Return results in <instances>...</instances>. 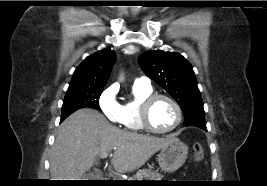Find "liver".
Wrapping results in <instances>:
<instances>
[{"label": "liver", "mask_w": 267, "mask_h": 186, "mask_svg": "<svg viewBox=\"0 0 267 186\" xmlns=\"http://www.w3.org/2000/svg\"><path fill=\"white\" fill-rule=\"evenodd\" d=\"M173 138L124 131L111 125L99 111L80 109L58 128L50 155L51 180H81L98 155L113 149L114 169L119 173L131 172Z\"/></svg>", "instance_id": "6515ba94"}]
</instances>
